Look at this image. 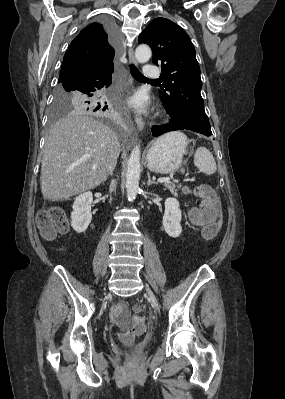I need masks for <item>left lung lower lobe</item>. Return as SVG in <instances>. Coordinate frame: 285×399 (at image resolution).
I'll list each match as a JSON object with an SVG mask.
<instances>
[{"label":"left lung lower lobe","instance_id":"left-lung-lower-lobe-1","mask_svg":"<svg viewBox=\"0 0 285 399\" xmlns=\"http://www.w3.org/2000/svg\"><path fill=\"white\" fill-rule=\"evenodd\" d=\"M175 130H191L183 125H179L174 123L172 120L169 124L163 126H154L152 127V134L153 136H160L164 133L175 131Z\"/></svg>","mask_w":285,"mask_h":399}]
</instances>
